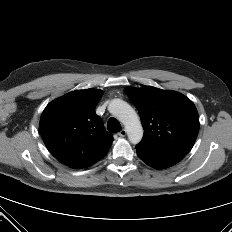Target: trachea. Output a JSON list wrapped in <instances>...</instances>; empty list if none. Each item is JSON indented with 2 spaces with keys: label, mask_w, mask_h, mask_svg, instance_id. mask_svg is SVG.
Masks as SVG:
<instances>
[{
  "label": "trachea",
  "mask_w": 232,
  "mask_h": 232,
  "mask_svg": "<svg viewBox=\"0 0 232 232\" xmlns=\"http://www.w3.org/2000/svg\"><path fill=\"white\" fill-rule=\"evenodd\" d=\"M107 128L109 132H119L122 130L121 125L119 123V121L113 117H111L108 122H107Z\"/></svg>",
  "instance_id": "trachea-1"
}]
</instances>
